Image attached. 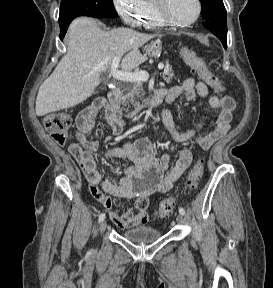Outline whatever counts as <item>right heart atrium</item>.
Returning <instances> with one entry per match:
<instances>
[{
    "label": "right heart atrium",
    "mask_w": 273,
    "mask_h": 288,
    "mask_svg": "<svg viewBox=\"0 0 273 288\" xmlns=\"http://www.w3.org/2000/svg\"><path fill=\"white\" fill-rule=\"evenodd\" d=\"M113 5L122 19L131 26L140 24L147 10V0H113Z\"/></svg>",
    "instance_id": "1"
}]
</instances>
